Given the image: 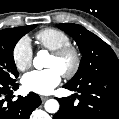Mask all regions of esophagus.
I'll return each instance as SVG.
<instances>
[{
    "label": "esophagus",
    "instance_id": "esophagus-1",
    "mask_svg": "<svg viewBox=\"0 0 119 119\" xmlns=\"http://www.w3.org/2000/svg\"><path fill=\"white\" fill-rule=\"evenodd\" d=\"M47 99H49V97H47V96H41L42 102H45Z\"/></svg>",
    "mask_w": 119,
    "mask_h": 119
}]
</instances>
